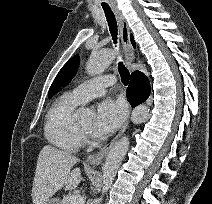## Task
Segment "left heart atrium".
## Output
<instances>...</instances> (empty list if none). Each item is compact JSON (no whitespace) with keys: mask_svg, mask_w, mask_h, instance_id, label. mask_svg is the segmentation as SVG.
Segmentation results:
<instances>
[{"mask_svg":"<svg viewBox=\"0 0 212 204\" xmlns=\"http://www.w3.org/2000/svg\"><path fill=\"white\" fill-rule=\"evenodd\" d=\"M126 108L122 101L106 99L97 107V115L92 125V133L104 137L113 133L122 123Z\"/></svg>","mask_w":212,"mask_h":204,"instance_id":"39dd6f15","label":"left heart atrium"}]
</instances>
